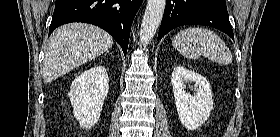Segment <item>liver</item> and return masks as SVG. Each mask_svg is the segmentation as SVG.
<instances>
[{"label":"liver","instance_id":"liver-1","mask_svg":"<svg viewBox=\"0 0 280 137\" xmlns=\"http://www.w3.org/2000/svg\"><path fill=\"white\" fill-rule=\"evenodd\" d=\"M113 45V38L103 29L86 23H71L50 36L43 61V79L50 83Z\"/></svg>","mask_w":280,"mask_h":137}]
</instances>
